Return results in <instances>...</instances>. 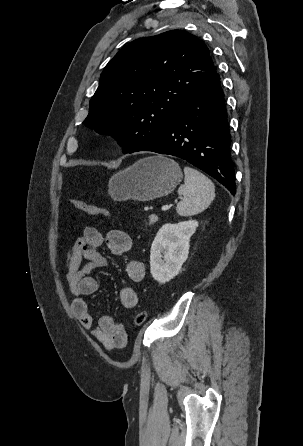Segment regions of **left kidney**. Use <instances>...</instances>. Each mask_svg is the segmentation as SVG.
<instances>
[{"label": "left kidney", "instance_id": "obj_1", "mask_svg": "<svg viewBox=\"0 0 303 446\" xmlns=\"http://www.w3.org/2000/svg\"><path fill=\"white\" fill-rule=\"evenodd\" d=\"M198 227L196 220L163 225L151 246L150 272L161 284L177 276L189 254V241Z\"/></svg>", "mask_w": 303, "mask_h": 446}]
</instances>
